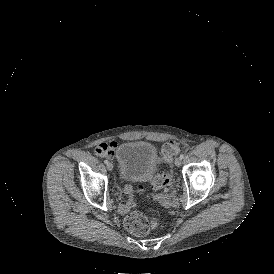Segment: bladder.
Masks as SVG:
<instances>
[{"instance_id":"bladder-1","label":"bladder","mask_w":274,"mask_h":274,"mask_svg":"<svg viewBox=\"0 0 274 274\" xmlns=\"http://www.w3.org/2000/svg\"><path fill=\"white\" fill-rule=\"evenodd\" d=\"M118 180L141 181L148 179L157 169V147L145 140H126L114 152Z\"/></svg>"}]
</instances>
